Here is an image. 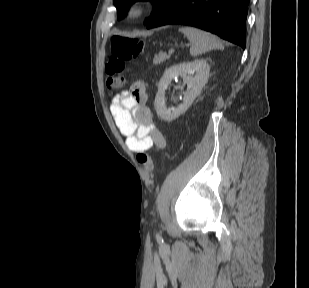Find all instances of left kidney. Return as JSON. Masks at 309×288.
<instances>
[{"label": "left kidney", "instance_id": "1", "mask_svg": "<svg viewBox=\"0 0 309 288\" xmlns=\"http://www.w3.org/2000/svg\"><path fill=\"white\" fill-rule=\"evenodd\" d=\"M210 66L205 59H197L192 62H184L169 67L158 84V92L155 97L157 114L165 121H172L187 111L202 88L208 81ZM195 74V75H194ZM181 76L188 89L184 92L183 103L176 108L168 109L165 105V90L173 79ZM183 88V87H178Z\"/></svg>", "mask_w": 309, "mask_h": 288}]
</instances>
